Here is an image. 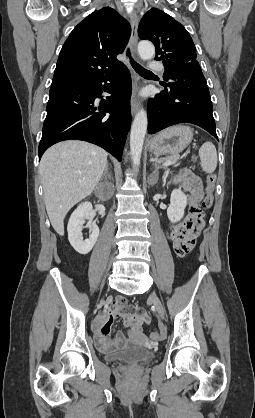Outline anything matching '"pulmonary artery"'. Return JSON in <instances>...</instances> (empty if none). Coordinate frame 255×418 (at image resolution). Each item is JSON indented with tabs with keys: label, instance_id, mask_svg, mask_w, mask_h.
<instances>
[{
	"label": "pulmonary artery",
	"instance_id": "1",
	"mask_svg": "<svg viewBox=\"0 0 255 418\" xmlns=\"http://www.w3.org/2000/svg\"><path fill=\"white\" fill-rule=\"evenodd\" d=\"M151 70H162V65L158 62L152 61L149 65Z\"/></svg>",
	"mask_w": 255,
	"mask_h": 418
}]
</instances>
